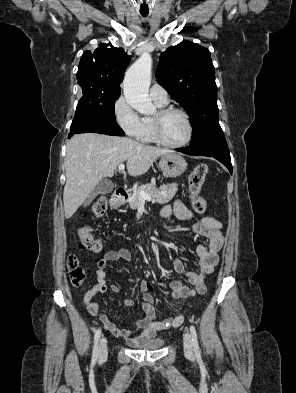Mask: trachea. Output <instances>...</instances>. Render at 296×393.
I'll use <instances>...</instances> for the list:
<instances>
[{
	"label": "trachea",
	"mask_w": 296,
	"mask_h": 393,
	"mask_svg": "<svg viewBox=\"0 0 296 393\" xmlns=\"http://www.w3.org/2000/svg\"><path fill=\"white\" fill-rule=\"evenodd\" d=\"M141 15H142L143 17H146V16L148 15V12H146V13H141Z\"/></svg>",
	"instance_id": "1"
}]
</instances>
